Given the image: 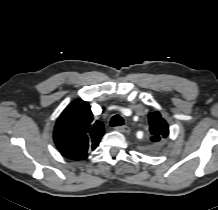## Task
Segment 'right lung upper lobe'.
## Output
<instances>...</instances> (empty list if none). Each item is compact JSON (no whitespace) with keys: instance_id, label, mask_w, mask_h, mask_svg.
Returning <instances> with one entry per match:
<instances>
[{"instance_id":"right-lung-upper-lobe-1","label":"right lung upper lobe","mask_w":218,"mask_h":210,"mask_svg":"<svg viewBox=\"0 0 218 210\" xmlns=\"http://www.w3.org/2000/svg\"><path fill=\"white\" fill-rule=\"evenodd\" d=\"M103 134V123L94 120L90 105L77 99L58 118L53 138L58 150L81 160L95 150Z\"/></svg>"}]
</instances>
